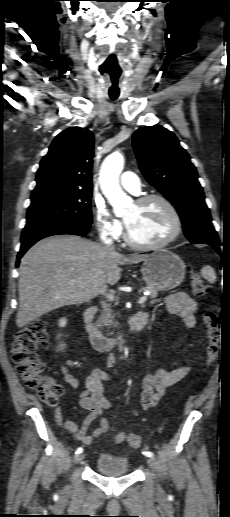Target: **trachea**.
<instances>
[{
  "label": "trachea",
  "mask_w": 230,
  "mask_h": 517,
  "mask_svg": "<svg viewBox=\"0 0 230 517\" xmlns=\"http://www.w3.org/2000/svg\"><path fill=\"white\" fill-rule=\"evenodd\" d=\"M109 97H110L111 100H116L118 98V96L111 95V94L109 95Z\"/></svg>",
  "instance_id": "obj_1"
}]
</instances>
